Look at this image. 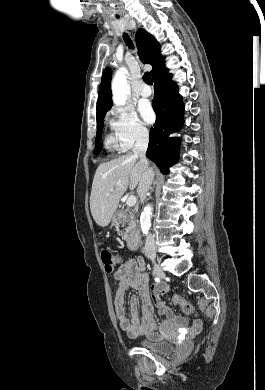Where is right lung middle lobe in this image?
Segmentation results:
<instances>
[{"instance_id":"right-lung-middle-lobe-1","label":"right lung middle lobe","mask_w":265,"mask_h":390,"mask_svg":"<svg viewBox=\"0 0 265 390\" xmlns=\"http://www.w3.org/2000/svg\"><path fill=\"white\" fill-rule=\"evenodd\" d=\"M105 115H102L97 119V134H96V141H95V151L94 154L99 153L102 150V143H100L101 135H102V129H103V119Z\"/></svg>"}]
</instances>
